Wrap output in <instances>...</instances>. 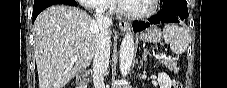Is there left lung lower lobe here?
Instances as JSON below:
<instances>
[{
	"label": "left lung lower lobe",
	"mask_w": 227,
	"mask_h": 88,
	"mask_svg": "<svg viewBox=\"0 0 227 88\" xmlns=\"http://www.w3.org/2000/svg\"><path fill=\"white\" fill-rule=\"evenodd\" d=\"M161 9L156 16L151 17L148 22H134L133 30L139 32L150 25L160 23H179L188 17L186 0H160Z\"/></svg>",
	"instance_id": "left-lung-lower-lobe-1"
}]
</instances>
